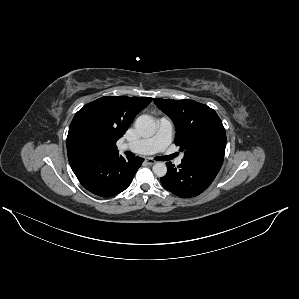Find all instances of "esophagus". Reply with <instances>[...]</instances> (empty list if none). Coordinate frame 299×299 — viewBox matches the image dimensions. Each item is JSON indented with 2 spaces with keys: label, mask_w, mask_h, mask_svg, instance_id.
<instances>
[{
  "label": "esophagus",
  "mask_w": 299,
  "mask_h": 299,
  "mask_svg": "<svg viewBox=\"0 0 299 299\" xmlns=\"http://www.w3.org/2000/svg\"><path fill=\"white\" fill-rule=\"evenodd\" d=\"M145 162H146L147 164H149V165H153V164L156 163V161L153 160V159H151V158H146V159H145Z\"/></svg>",
  "instance_id": "esophagus-1"
}]
</instances>
